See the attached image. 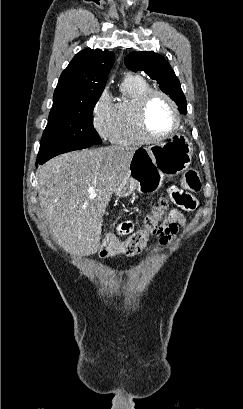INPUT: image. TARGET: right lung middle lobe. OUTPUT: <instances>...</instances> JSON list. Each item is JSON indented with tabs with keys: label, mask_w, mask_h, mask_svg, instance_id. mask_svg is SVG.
<instances>
[{
	"label": "right lung middle lobe",
	"mask_w": 243,
	"mask_h": 409,
	"mask_svg": "<svg viewBox=\"0 0 243 409\" xmlns=\"http://www.w3.org/2000/svg\"><path fill=\"white\" fill-rule=\"evenodd\" d=\"M97 101L87 103H53L41 145H95L102 141L93 126V109Z\"/></svg>",
	"instance_id": "right-lung-middle-lobe-1"
}]
</instances>
